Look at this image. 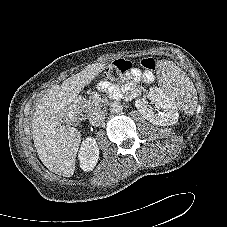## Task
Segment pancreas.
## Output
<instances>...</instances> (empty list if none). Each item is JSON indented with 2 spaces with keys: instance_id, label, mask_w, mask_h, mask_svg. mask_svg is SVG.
I'll return each mask as SVG.
<instances>
[{
  "instance_id": "cf45deb5",
  "label": "pancreas",
  "mask_w": 227,
  "mask_h": 227,
  "mask_svg": "<svg viewBox=\"0 0 227 227\" xmlns=\"http://www.w3.org/2000/svg\"><path fill=\"white\" fill-rule=\"evenodd\" d=\"M79 107L81 108L82 111L86 113H91L100 107V102L94 100V97L91 96L89 100L81 101Z\"/></svg>"
}]
</instances>
